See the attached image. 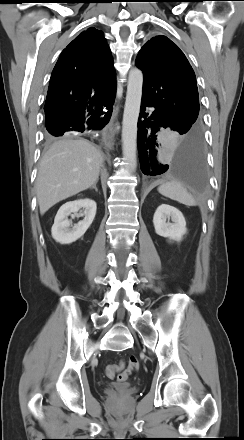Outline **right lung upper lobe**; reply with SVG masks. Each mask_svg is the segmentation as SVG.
<instances>
[{
  "label": "right lung upper lobe",
  "mask_w": 244,
  "mask_h": 440,
  "mask_svg": "<svg viewBox=\"0 0 244 440\" xmlns=\"http://www.w3.org/2000/svg\"><path fill=\"white\" fill-rule=\"evenodd\" d=\"M116 95L110 48L103 33L91 27L61 53L51 75L45 121L96 111Z\"/></svg>",
  "instance_id": "cb5924a9"
}]
</instances>
